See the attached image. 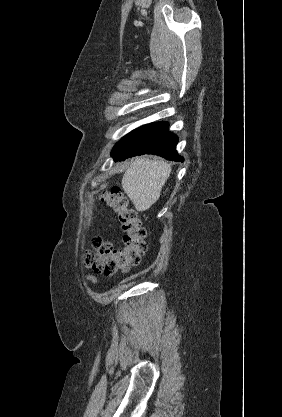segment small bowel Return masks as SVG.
Segmentation results:
<instances>
[{"label": "small bowel", "instance_id": "c3829d8e", "mask_svg": "<svg viewBox=\"0 0 282 417\" xmlns=\"http://www.w3.org/2000/svg\"><path fill=\"white\" fill-rule=\"evenodd\" d=\"M84 279L86 281H89V282L93 283V284H97V282H98L97 277L95 275H92V274H85Z\"/></svg>", "mask_w": 282, "mask_h": 417}]
</instances>
